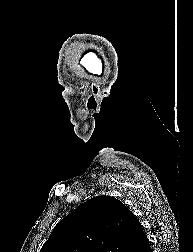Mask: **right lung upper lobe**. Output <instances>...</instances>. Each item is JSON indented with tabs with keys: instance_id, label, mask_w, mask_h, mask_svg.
Returning a JSON list of instances; mask_svg holds the SVG:
<instances>
[{
	"instance_id": "right-lung-upper-lobe-1",
	"label": "right lung upper lobe",
	"mask_w": 193,
	"mask_h": 252,
	"mask_svg": "<svg viewBox=\"0 0 193 252\" xmlns=\"http://www.w3.org/2000/svg\"><path fill=\"white\" fill-rule=\"evenodd\" d=\"M145 235L118 199L97 196L62 219L40 252H129Z\"/></svg>"
}]
</instances>
